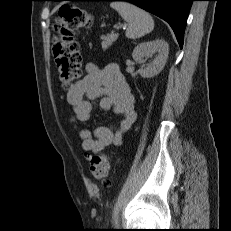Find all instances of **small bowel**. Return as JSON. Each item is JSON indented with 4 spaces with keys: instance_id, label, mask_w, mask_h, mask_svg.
I'll use <instances>...</instances> for the list:
<instances>
[{
    "instance_id": "obj_1",
    "label": "small bowel",
    "mask_w": 231,
    "mask_h": 231,
    "mask_svg": "<svg viewBox=\"0 0 231 231\" xmlns=\"http://www.w3.org/2000/svg\"><path fill=\"white\" fill-rule=\"evenodd\" d=\"M66 97L74 112L70 123L78 130L81 138L79 148L84 152L99 153L110 145H120L137 118L131 88L114 63L103 68L88 63L85 76L67 90ZM95 105L104 110L112 109L121 116L120 121L97 127L94 131L79 128L78 123L91 119Z\"/></svg>"
}]
</instances>
